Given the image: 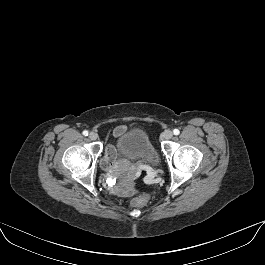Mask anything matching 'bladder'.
<instances>
[{"label":"bladder","mask_w":265,"mask_h":265,"mask_svg":"<svg viewBox=\"0 0 265 265\" xmlns=\"http://www.w3.org/2000/svg\"><path fill=\"white\" fill-rule=\"evenodd\" d=\"M115 159L141 160L151 167L160 163L159 155L148 134L143 130H133L121 134L112 145Z\"/></svg>","instance_id":"1"}]
</instances>
